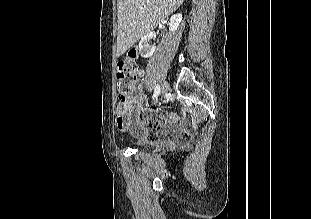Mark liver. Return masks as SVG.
Masks as SVG:
<instances>
[{"label": "liver", "mask_w": 311, "mask_h": 219, "mask_svg": "<svg viewBox=\"0 0 311 219\" xmlns=\"http://www.w3.org/2000/svg\"><path fill=\"white\" fill-rule=\"evenodd\" d=\"M184 0H118L117 56L125 53Z\"/></svg>", "instance_id": "6515ba94"}]
</instances>
